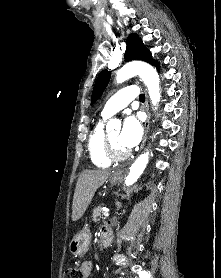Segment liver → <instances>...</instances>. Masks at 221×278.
<instances>
[{"label":"liver","instance_id":"obj_1","mask_svg":"<svg viewBox=\"0 0 221 278\" xmlns=\"http://www.w3.org/2000/svg\"><path fill=\"white\" fill-rule=\"evenodd\" d=\"M110 176L104 170H84L78 178L72 204V220H79L85 213L96 190Z\"/></svg>","mask_w":221,"mask_h":278}]
</instances>
